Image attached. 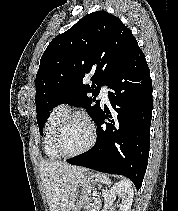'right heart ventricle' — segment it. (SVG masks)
<instances>
[{"label":"right heart ventricle","mask_w":178,"mask_h":211,"mask_svg":"<svg viewBox=\"0 0 178 211\" xmlns=\"http://www.w3.org/2000/svg\"><path fill=\"white\" fill-rule=\"evenodd\" d=\"M68 113L67 108L64 105H57L51 111L45 123V136H44V152L46 156L51 160H56L61 158L54 149L53 141L55 131Z\"/></svg>","instance_id":"e07e8e85"}]
</instances>
